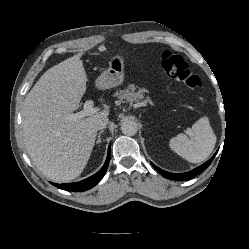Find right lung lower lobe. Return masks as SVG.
<instances>
[{
	"mask_svg": "<svg viewBox=\"0 0 249 249\" xmlns=\"http://www.w3.org/2000/svg\"><path fill=\"white\" fill-rule=\"evenodd\" d=\"M110 156H111V147L109 145V147H108V155H107L105 164L100 169V171H98L96 174H94L93 176H91V177H89L87 179H84V180H82L80 182L67 183V184H56V183L51 182V184L58 187L59 189L67 190V191L80 192V191L89 190L92 187H94L102 179V177L105 175V173L107 171V168H108Z\"/></svg>",
	"mask_w": 249,
	"mask_h": 249,
	"instance_id": "1",
	"label": "right lung lower lobe"
}]
</instances>
